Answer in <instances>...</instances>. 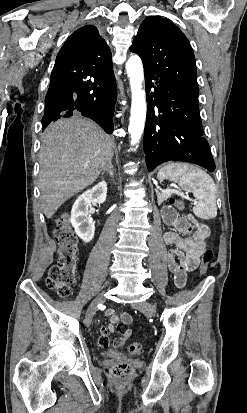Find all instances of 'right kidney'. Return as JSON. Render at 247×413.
Returning <instances> with one entry per match:
<instances>
[{
	"instance_id": "1",
	"label": "right kidney",
	"mask_w": 247,
	"mask_h": 413,
	"mask_svg": "<svg viewBox=\"0 0 247 413\" xmlns=\"http://www.w3.org/2000/svg\"><path fill=\"white\" fill-rule=\"evenodd\" d=\"M107 196V182L101 180L92 188H88L77 196L71 211V225L75 229L76 235L84 241L90 243L94 237L95 225L89 215V204L94 202H104Z\"/></svg>"
}]
</instances>
